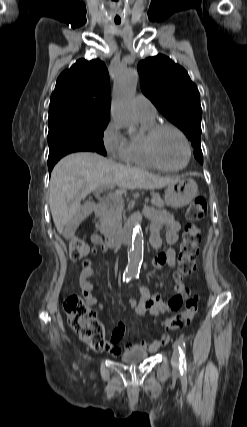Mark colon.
Instances as JSON below:
<instances>
[{
    "mask_svg": "<svg viewBox=\"0 0 247 427\" xmlns=\"http://www.w3.org/2000/svg\"><path fill=\"white\" fill-rule=\"evenodd\" d=\"M206 216L207 202L205 198L198 197L190 203L186 212L188 223L183 232L179 248L178 270L175 273V280L178 282L195 270L194 259L198 253L200 240V231L196 223ZM92 251L86 240L80 236H74L69 241V253L73 261L83 260ZM63 308L69 325L91 349L96 351L107 349L108 341L104 328L96 320L84 298L74 293L67 294L63 299ZM198 309L199 298L197 296L189 298L181 311L165 321L166 328L177 330L187 326L196 316Z\"/></svg>",
    "mask_w": 247,
    "mask_h": 427,
    "instance_id": "5ec220e1",
    "label": "colon"
}]
</instances>
